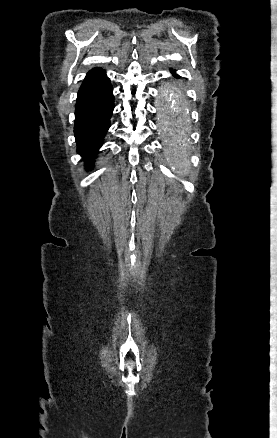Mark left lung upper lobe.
<instances>
[{"label":"left lung upper lobe","mask_w":277,"mask_h":438,"mask_svg":"<svg viewBox=\"0 0 277 438\" xmlns=\"http://www.w3.org/2000/svg\"><path fill=\"white\" fill-rule=\"evenodd\" d=\"M172 70V69H171ZM173 72V75L176 77V78H180V76H178V75H176L175 74V71H172Z\"/></svg>","instance_id":"left-lung-upper-lobe-1"}]
</instances>
